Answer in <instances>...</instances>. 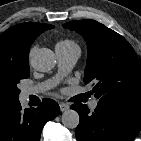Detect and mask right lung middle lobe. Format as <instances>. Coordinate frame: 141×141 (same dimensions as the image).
I'll use <instances>...</instances> for the list:
<instances>
[{"instance_id":"right-lung-middle-lobe-1","label":"right lung middle lobe","mask_w":141,"mask_h":141,"mask_svg":"<svg viewBox=\"0 0 141 141\" xmlns=\"http://www.w3.org/2000/svg\"><path fill=\"white\" fill-rule=\"evenodd\" d=\"M29 74V65L16 67L0 64V108L18 101L20 90L17 84Z\"/></svg>"}]
</instances>
